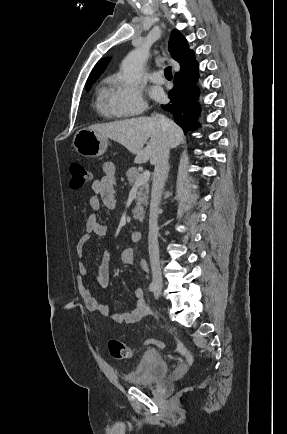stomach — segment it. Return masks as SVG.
I'll use <instances>...</instances> for the list:
<instances>
[{
    "label": "stomach",
    "instance_id": "1",
    "mask_svg": "<svg viewBox=\"0 0 287 434\" xmlns=\"http://www.w3.org/2000/svg\"><path fill=\"white\" fill-rule=\"evenodd\" d=\"M107 145V137L89 128L80 129L73 138L75 150L84 157L94 158L101 156L107 150Z\"/></svg>",
    "mask_w": 287,
    "mask_h": 434
}]
</instances>
